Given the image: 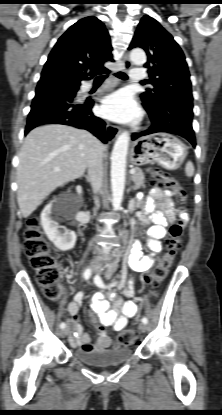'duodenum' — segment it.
Wrapping results in <instances>:
<instances>
[{
	"mask_svg": "<svg viewBox=\"0 0 222 415\" xmlns=\"http://www.w3.org/2000/svg\"><path fill=\"white\" fill-rule=\"evenodd\" d=\"M87 218H88V214L86 212H82L80 215V219L85 221L87 220Z\"/></svg>",
	"mask_w": 222,
	"mask_h": 415,
	"instance_id": "410a0bca",
	"label": "duodenum"
}]
</instances>
